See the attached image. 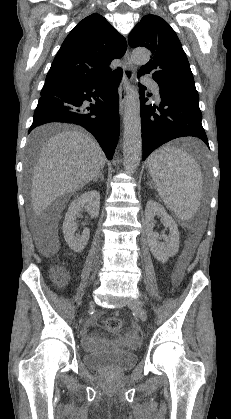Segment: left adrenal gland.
<instances>
[{
  "label": "left adrenal gland",
  "instance_id": "a2214340",
  "mask_svg": "<svg viewBox=\"0 0 231 419\" xmlns=\"http://www.w3.org/2000/svg\"><path fill=\"white\" fill-rule=\"evenodd\" d=\"M147 185H149L150 187H152V185H151V183H150V182H147Z\"/></svg>",
  "mask_w": 231,
  "mask_h": 419
}]
</instances>
